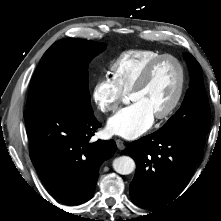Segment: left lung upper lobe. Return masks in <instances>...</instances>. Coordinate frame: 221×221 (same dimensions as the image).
Masks as SVG:
<instances>
[{"label": "left lung upper lobe", "instance_id": "obj_1", "mask_svg": "<svg viewBox=\"0 0 221 221\" xmlns=\"http://www.w3.org/2000/svg\"><path fill=\"white\" fill-rule=\"evenodd\" d=\"M187 62L191 70L190 88L180 109L158 132L197 131L208 133L210 108L203 83L202 69L191 54L187 55Z\"/></svg>", "mask_w": 221, "mask_h": 221}]
</instances>
